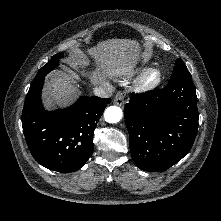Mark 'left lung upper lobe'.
<instances>
[{
    "label": "left lung upper lobe",
    "mask_w": 221,
    "mask_h": 221,
    "mask_svg": "<svg viewBox=\"0 0 221 221\" xmlns=\"http://www.w3.org/2000/svg\"><path fill=\"white\" fill-rule=\"evenodd\" d=\"M182 77H188L192 78L191 74L187 70L186 66L182 62L181 59H177L175 67L173 68V73L170 77V82L177 79V78H182Z\"/></svg>",
    "instance_id": "left-lung-upper-lobe-1"
}]
</instances>
